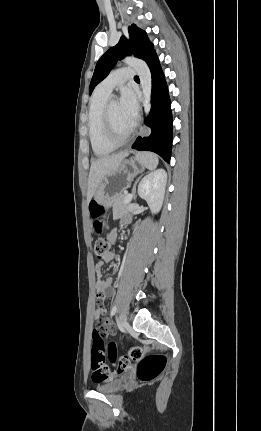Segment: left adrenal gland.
Here are the masks:
<instances>
[{"label":"left adrenal gland","instance_id":"obj_1","mask_svg":"<svg viewBox=\"0 0 261 431\" xmlns=\"http://www.w3.org/2000/svg\"><path fill=\"white\" fill-rule=\"evenodd\" d=\"M139 179H140V178H138V179L136 180V182L134 183L133 189H132L133 199H136V185H137V183H138Z\"/></svg>","mask_w":261,"mask_h":431}]
</instances>
